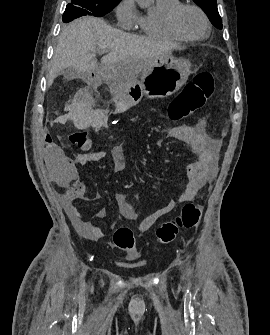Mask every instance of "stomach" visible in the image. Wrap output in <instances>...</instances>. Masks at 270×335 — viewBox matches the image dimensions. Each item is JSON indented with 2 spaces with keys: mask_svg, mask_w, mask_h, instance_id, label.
Masks as SVG:
<instances>
[{
  "mask_svg": "<svg viewBox=\"0 0 270 335\" xmlns=\"http://www.w3.org/2000/svg\"><path fill=\"white\" fill-rule=\"evenodd\" d=\"M190 60L175 56H156L147 60L141 80H122L120 94L123 102L131 108L146 98H167L178 92L191 74ZM119 72H117L118 76Z\"/></svg>",
  "mask_w": 270,
  "mask_h": 335,
  "instance_id": "stomach-1",
  "label": "stomach"
}]
</instances>
